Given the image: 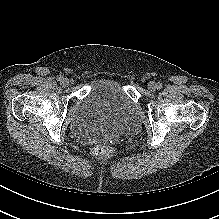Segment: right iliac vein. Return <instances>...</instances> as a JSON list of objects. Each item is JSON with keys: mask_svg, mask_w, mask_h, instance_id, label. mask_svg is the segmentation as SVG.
I'll use <instances>...</instances> for the list:
<instances>
[{"mask_svg": "<svg viewBox=\"0 0 219 219\" xmlns=\"http://www.w3.org/2000/svg\"><path fill=\"white\" fill-rule=\"evenodd\" d=\"M62 85L65 86V87H68L70 85V81L68 78H64L62 80Z\"/></svg>", "mask_w": 219, "mask_h": 219, "instance_id": "1", "label": "right iliac vein"}]
</instances>
